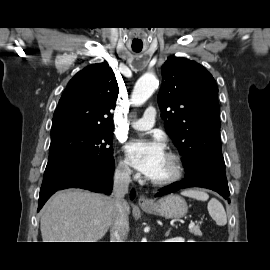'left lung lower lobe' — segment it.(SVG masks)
Returning <instances> with one entry per match:
<instances>
[{
  "label": "left lung lower lobe",
  "mask_w": 270,
  "mask_h": 270,
  "mask_svg": "<svg viewBox=\"0 0 270 270\" xmlns=\"http://www.w3.org/2000/svg\"><path fill=\"white\" fill-rule=\"evenodd\" d=\"M188 187H203L218 192L225 199H229L230 192L225 174V162L219 159H208L197 169L186 172L185 180L175 182L166 189L158 192L162 196Z\"/></svg>",
  "instance_id": "0a47b994"
}]
</instances>
